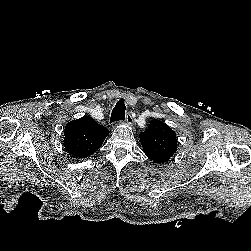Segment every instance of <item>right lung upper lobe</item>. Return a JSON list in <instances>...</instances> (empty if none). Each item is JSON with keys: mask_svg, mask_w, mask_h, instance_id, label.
I'll use <instances>...</instances> for the list:
<instances>
[{"mask_svg": "<svg viewBox=\"0 0 251 251\" xmlns=\"http://www.w3.org/2000/svg\"><path fill=\"white\" fill-rule=\"evenodd\" d=\"M109 130L89 116L70 121L64 130V147L74 158H86L102 145Z\"/></svg>", "mask_w": 251, "mask_h": 251, "instance_id": "cb5924a9", "label": "right lung upper lobe"}]
</instances>
